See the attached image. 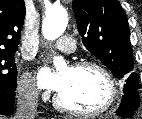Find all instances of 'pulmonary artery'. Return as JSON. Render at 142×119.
Returning a JSON list of instances; mask_svg holds the SVG:
<instances>
[{
  "mask_svg": "<svg viewBox=\"0 0 142 119\" xmlns=\"http://www.w3.org/2000/svg\"><path fill=\"white\" fill-rule=\"evenodd\" d=\"M55 48H57L58 50H60L63 53H73L75 52V41L68 36L65 37H61L55 44H54Z\"/></svg>",
  "mask_w": 142,
  "mask_h": 119,
  "instance_id": "pulmonary-artery-1",
  "label": "pulmonary artery"
}]
</instances>
